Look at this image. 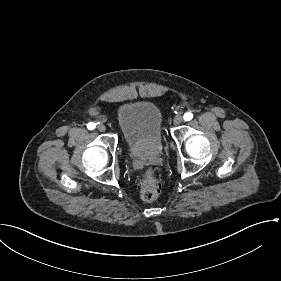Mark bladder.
<instances>
[{"label": "bladder", "instance_id": "1", "mask_svg": "<svg viewBox=\"0 0 281 281\" xmlns=\"http://www.w3.org/2000/svg\"><path fill=\"white\" fill-rule=\"evenodd\" d=\"M115 122L123 143L137 157L159 155L165 140L162 108L147 98H132L115 108Z\"/></svg>", "mask_w": 281, "mask_h": 281}]
</instances>
